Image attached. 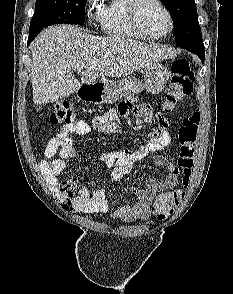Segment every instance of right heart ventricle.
<instances>
[{
	"instance_id": "obj_1",
	"label": "right heart ventricle",
	"mask_w": 233,
	"mask_h": 294,
	"mask_svg": "<svg viewBox=\"0 0 233 294\" xmlns=\"http://www.w3.org/2000/svg\"><path fill=\"white\" fill-rule=\"evenodd\" d=\"M131 2L132 0H110L103 5L97 15V21L105 34L117 38L144 39L130 23Z\"/></svg>"
}]
</instances>
